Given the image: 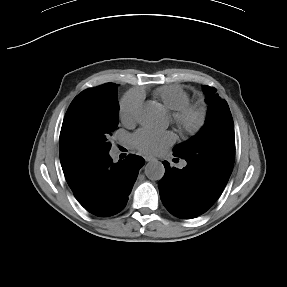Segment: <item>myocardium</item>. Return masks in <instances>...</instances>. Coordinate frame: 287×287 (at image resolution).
I'll list each match as a JSON object with an SVG mask.
<instances>
[{
  "label": "myocardium",
  "instance_id": "f54148a6",
  "mask_svg": "<svg viewBox=\"0 0 287 287\" xmlns=\"http://www.w3.org/2000/svg\"><path fill=\"white\" fill-rule=\"evenodd\" d=\"M172 120L187 134H196L204 126L206 111L203 106L190 101L175 111Z\"/></svg>",
  "mask_w": 287,
  "mask_h": 287
}]
</instances>
